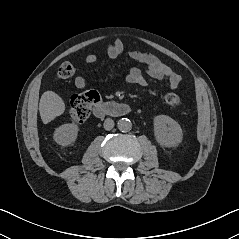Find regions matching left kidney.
<instances>
[{"label":"left kidney","mask_w":239,"mask_h":239,"mask_svg":"<svg viewBox=\"0 0 239 239\" xmlns=\"http://www.w3.org/2000/svg\"><path fill=\"white\" fill-rule=\"evenodd\" d=\"M154 136L163 147H177L183 140L181 126L167 115H158L154 118Z\"/></svg>","instance_id":"5707ae66"}]
</instances>
